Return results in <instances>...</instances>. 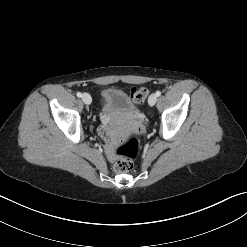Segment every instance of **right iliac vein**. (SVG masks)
<instances>
[{"label":"right iliac vein","instance_id":"63e3f726","mask_svg":"<svg viewBox=\"0 0 247 247\" xmlns=\"http://www.w3.org/2000/svg\"><path fill=\"white\" fill-rule=\"evenodd\" d=\"M82 101H83L85 104L89 105V104H91V102H92V98H91V96H90L88 93H84V94L82 95Z\"/></svg>","mask_w":247,"mask_h":247}]
</instances>
